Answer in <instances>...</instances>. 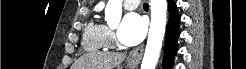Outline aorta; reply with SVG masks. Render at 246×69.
Segmentation results:
<instances>
[{
  "label": "aorta",
  "instance_id": "1",
  "mask_svg": "<svg viewBox=\"0 0 246 69\" xmlns=\"http://www.w3.org/2000/svg\"><path fill=\"white\" fill-rule=\"evenodd\" d=\"M166 0H151V23L141 69H155L159 59L166 27ZM122 15V0H108L105 20L117 25Z\"/></svg>",
  "mask_w": 246,
  "mask_h": 69
}]
</instances>
